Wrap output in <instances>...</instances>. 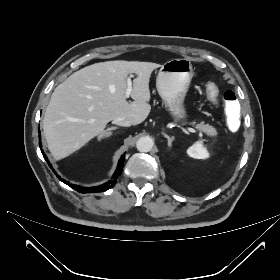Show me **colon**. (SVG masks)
I'll return each mask as SVG.
<instances>
[{"instance_id":"1","label":"colon","mask_w":280,"mask_h":280,"mask_svg":"<svg viewBox=\"0 0 280 280\" xmlns=\"http://www.w3.org/2000/svg\"><path fill=\"white\" fill-rule=\"evenodd\" d=\"M206 98L211 103H216L219 96V90L216 84L208 82L204 87ZM223 100L226 110L228 112V120L226 127L232 132H237L241 128L242 117L241 108L238 104L236 93L232 90H226L223 93Z\"/></svg>"}]
</instances>
